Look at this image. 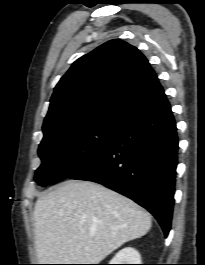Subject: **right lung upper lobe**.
<instances>
[{
  "label": "right lung upper lobe",
  "instance_id": "obj_1",
  "mask_svg": "<svg viewBox=\"0 0 205 265\" xmlns=\"http://www.w3.org/2000/svg\"><path fill=\"white\" fill-rule=\"evenodd\" d=\"M164 94L155 71L134 46L110 40L75 61L50 100L43 133L81 126L121 124Z\"/></svg>",
  "mask_w": 205,
  "mask_h": 265
}]
</instances>
